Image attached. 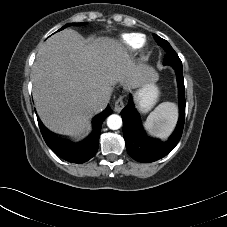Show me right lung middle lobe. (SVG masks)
<instances>
[{"label": "right lung middle lobe", "mask_w": 227, "mask_h": 227, "mask_svg": "<svg viewBox=\"0 0 227 227\" xmlns=\"http://www.w3.org/2000/svg\"><path fill=\"white\" fill-rule=\"evenodd\" d=\"M83 24H85V23H70V24H66L65 26H63V27H62L61 29H59L58 31L63 30L64 28H66V27H68V26H73V25L79 26V25H83Z\"/></svg>", "instance_id": "dd1d6c3e"}]
</instances>
